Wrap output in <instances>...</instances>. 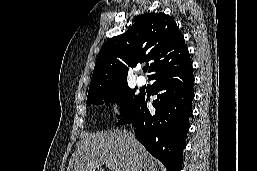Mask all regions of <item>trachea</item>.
<instances>
[{"label": "trachea", "mask_w": 257, "mask_h": 171, "mask_svg": "<svg viewBox=\"0 0 257 171\" xmlns=\"http://www.w3.org/2000/svg\"><path fill=\"white\" fill-rule=\"evenodd\" d=\"M143 71L146 72V71H147V68H144Z\"/></svg>", "instance_id": "obj_1"}]
</instances>
